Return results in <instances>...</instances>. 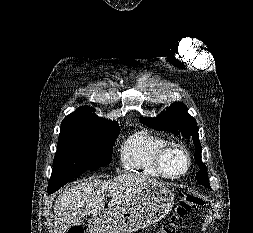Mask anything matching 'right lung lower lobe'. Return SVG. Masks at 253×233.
Returning <instances> with one entry per match:
<instances>
[{
	"label": "right lung lower lobe",
	"instance_id": "obj_1",
	"mask_svg": "<svg viewBox=\"0 0 253 233\" xmlns=\"http://www.w3.org/2000/svg\"><path fill=\"white\" fill-rule=\"evenodd\" d=\"M86 170H81V171H74L68 174H65L61 177L55 178L50 180V183L48 185V194H52L55 191H57L59 188L67 184L69 181L74 179L75 177L81 175L84 173Z\"/></svg>",
	"mask_w": 253,
	"mask_h": 233
}]
</instances>
